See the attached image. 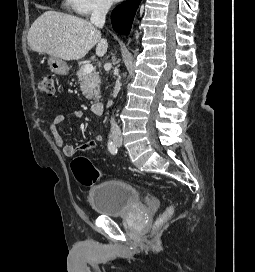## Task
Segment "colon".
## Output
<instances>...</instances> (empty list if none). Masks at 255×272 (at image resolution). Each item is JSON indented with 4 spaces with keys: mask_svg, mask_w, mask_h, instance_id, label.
<instances>
[{
    "mask_svg": "<svg viewBox=\"0 0 255 272\" xmlns=\"http://www.w3.org/2000/svg\"><path fill=\"white\" fill-rule=\"evenodd\" d=\"M39 91L46 96H52L54 93V78L52 75H45L41 78L38 84ZM72 172L79 183L85 186L93 184L100 176V172L93 166L89 158L85 156H79L75 158L71 163ZM145 185L157 187L164 190V187L160 184L143 181ZM175 212V204L173 200H169L168 205L164 211L156 219V226L160 227L166 224Z\"/></svg>",
    "mask_w": 255,
    "mask_h": 272,
    "instance_id": "5ec220e1",
    "label": "colon"
}]
</instances>
